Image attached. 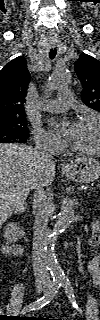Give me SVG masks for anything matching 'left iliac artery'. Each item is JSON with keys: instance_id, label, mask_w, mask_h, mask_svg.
<instances>
[{"instance_id": "1", "label": "left iliac artery", "mask_w": 100, "mask_h": 320, "mask_svg": "<svg viewBox=\"0 0 100 320\" xmlns=\"http://www.w3.org/2000/svg\"><path fill=\"white\" fill-rule=\"evenodd\" d=\"M61 286L64 288L65 293L67 294L69 300L71 301L72 305L74 308L78 309V305L76 303L75 300V295H74V291H73V287L71 285V282L69 281V279H62L61 280ZM79 312L81 313V309H78Z\"/></svg>"}]
</instances>
